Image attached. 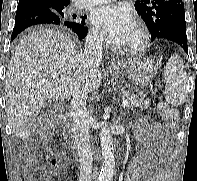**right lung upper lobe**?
Segmentation results:
<instances>
[{
  "mask_svg": "<svg viewBox=\"0 0 197 181\" xmlns=\"http://www.w3.org/2000/svg\"><path fill=\"white\" fill-rule=\"evenodd\" d=\"M31 1L39 4H53V5H68L70 0H26Z\"/></svg>",
  "mask_w": 197,
  "mask_h": 181,
  "instance_id": "right-lung-upper-lobe-1",
  "label": "right lung upper lobe"
}]
</instances>
